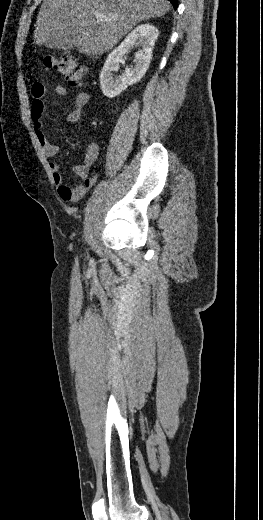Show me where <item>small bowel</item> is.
Here are the masks:
<instances>
[{
  "label": "small bowel",
  "instance_id": "c3829d8e",
  "mask_svg": "<svg viewBox=\"0 0 263 520\" xmlns=\"http://www.w3.org/2000/svg\"><path fill=\"white\" fill-rule=\"evenodd\" d=\"M53 91L58 96L68 95V90L63 85H56ZM32 102H31V120L35 135L39 144L41 145L45 155L48 158L55 157L59 154L60 148L52 144L46 137L43 130V114L45 111L44 97L46 94V87L43 83L36 82L31 87ZM89 94L86 92H79L74 96V108L67 114V120L75 123L80 120L81 110L89 102ZM99 155V145L95 140H90L83 158V162L74 167V172L81 183L77 186H69L65 184L63 175L61 173V164L57 161H50L49 167L53 174L54 182L58 189L60 198L67 202L78 201L89 191L97 180L96 173H90V170L96 162Z\"/></svg>",
  "mask_w": 263,
  "mask_h": 520
}]
</instances>
